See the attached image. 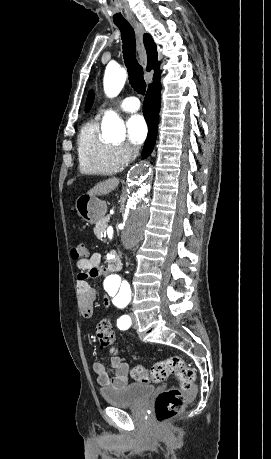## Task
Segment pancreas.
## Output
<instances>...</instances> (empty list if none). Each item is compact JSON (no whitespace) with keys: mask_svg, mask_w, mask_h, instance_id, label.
<instances>
[{"mask_svg":"<svg viewBox=\"0 0 271 459\" xmlns=\"http://www.w3.org/2000/svg\"><path fill=\"white\" fill-rule=\"evenodd\" d=\"M96 232V237L98 239H103L105 237V232L103 230H101V228H99V226H97V228H94Z\"/></svg>","mask_w":271,"mask_h":459,"instance_id":"pancreas-1","label":"pancreas"}]
</instances>
